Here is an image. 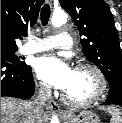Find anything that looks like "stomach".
<instances>
[{"label":"stomach","instance_id":"1","mask_svg":"<svg viewBox=\"0 0 122 123\" xmlns=\"http://www.w3.org/2000/svg\"><path fill=\"white\" fill-rule=\"evenodd\" d=\"M64 123H101L100 118L89 110H82L78 115L64 117Z\"/></svg>","mask_w":122,"mask_h":123}]
</instances>
